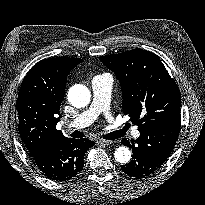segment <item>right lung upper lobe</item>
<instances>
[{"label": "right lung upper lobe", "mask_w": 205, "mask_h": 205, "mask_svg": "<svg viewBox=\"0 0 205 205\" xmlns=\"http://www.w3.org/2000/svg\"><path fill=\"white\" fill-rule=\"evenodd\" d=\"M79 58H54L36 63L24 77L17 98L19 134L29 153L66 139L56 129L69 72Z\"/></svg>", "instance_id": "right-lung-upper-lobe-1"}]
</instances>
